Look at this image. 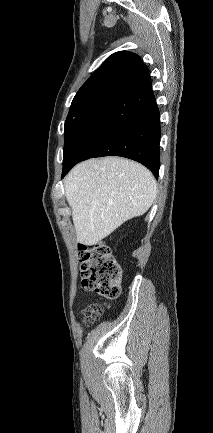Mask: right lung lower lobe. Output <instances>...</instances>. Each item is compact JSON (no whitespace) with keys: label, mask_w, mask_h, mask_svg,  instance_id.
I'll return each instance as SVG.
<instances>
[{"label":"right lung lower lobe","mask_w":213,"mask_h":433,"mask_svg":"<svg viewBox=\"0 0 213 433\" xmlns=\"http://www.w3.org/2000/svg\"><path fill=\"white\" fill-rule=\"evenodd\" d=\"M160 114L147 74L102 109L63 156L62 177L78 162L102 156L126 157L158 178Z\"/></svg>","instance_id":"1"}]
</instances>
